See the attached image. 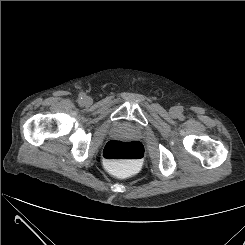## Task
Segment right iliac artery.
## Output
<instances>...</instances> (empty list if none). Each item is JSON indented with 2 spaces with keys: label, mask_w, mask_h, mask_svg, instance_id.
Wrapping results in <instances>:
<instances>
[{
  "label": "right iliac artery",
  "mask_w": 245,
  "mask_h": 245,
  "mask_svg": "<svg viewBox=\"0 0 245 245\" xmlns=\"http://www.w3.org/2000/svg\"><path fill=\"white\" fill-rule=\"evenodd\" d=\"M84 97H85L84 94H80L79 95V101H83Z\"/></svg>",
  "instance_id": "1"
}]
</instances>
